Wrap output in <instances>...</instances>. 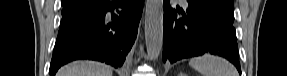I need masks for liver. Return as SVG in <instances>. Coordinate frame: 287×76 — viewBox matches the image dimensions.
I'll return each instance as SVG.
<instances>
[{"label":"liver","instance_id":"obj_1","mask_svg":"<svg viewBox=\"0 0 287 76\" xmlns=\"http://www.w3.org/2000/svg\"><path fill=\"white\" fill-rule=\"evenodd\" d=\"M57 76H112V68L95 61H75L62 67Z\"/></svg>","mask_w":287,"mask_h":76}]
</instances>
